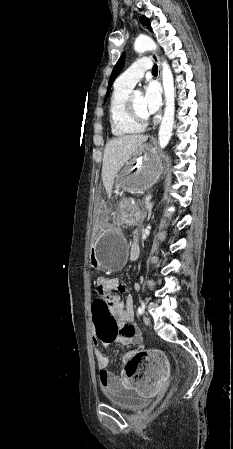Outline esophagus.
I'll use <instances>...</instances> for the list:
<instances>
[{"label":"esophagus","mask_w":233,"mask_h":449,"mask_svg":"<svg viewBox=\"0 0 233 449\" xmlns=\"http://www.w3.org/2000/svg\"><path fill=\"white\" fill-rule=\"evenodd\" d=\"M151 57L156 62L157 66H158V78H159V80H161L162 73H161V62H160V59H159V57H158V55L156 53H152Z\"/></svg>","instance_id":"34e87169"}]
</instances>
